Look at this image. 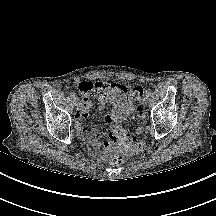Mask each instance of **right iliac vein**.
<instances>
[{
    "mask_svg": "<svg viewBox=\"0 0 216 216\" xmlns=\"http://www.w3.org/2000/svg\"><path fill=\"white\" fill-rule=\"evenodd\" d=\"M73 104H74L75 106H78V105H79V101H78L77 98H74V99H73Z\"/></svg>",
    "mask_w": 216,
    "mask_h": 216,
    "instance_id": "right-iliac-vein-1",
    "label": "right iliac vein"
}]
</instances>
